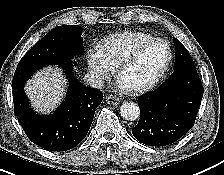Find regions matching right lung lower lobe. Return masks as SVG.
I'll list each match as a JSON object with an SVG mask.
<instances>
[{
  "mask_svg": "<svg viewBox=\"0 0 224 175\" xmlns=\"http://www.w3.org/2000/svg\"><path fill=\"white\" fill-rule=\"evenodd\" d=\"M43 66L17 67L13 77L14 112L28 138L50 151L76 147L87 135L103 93L80 84L72 74L71 61L60 65L69 79L67 95L52 115L41 116L29 108L24 84Z\"/></svg>",
  "mask_w": 224,
  "mask_h": 175,
  "instance_id": "right-lung-lower-lobe-1",
  "label": "right lung lower lobe"
}]
</instances>
